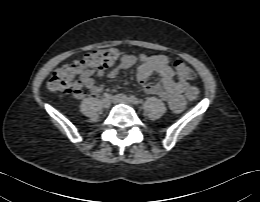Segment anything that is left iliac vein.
Listing matches in <instances>:
<instances>
[{
	"label": "left iliac vein",
	"instance_id": "left-iliac-vein-1",
	"mask_svg": "<svg viewBox=\"0 0 260 202\" xmlns=\"http://www.w3.org/2000/svg\"><path fill=\"white\" fill-rule=\"evenodd\" d=\"M113 102L114 103H125V104H131L130 98L123 94H117L113 97Z\"/></svg>",
	"mask_w": 260,
	"mask_h": 202
}]
</instances>
